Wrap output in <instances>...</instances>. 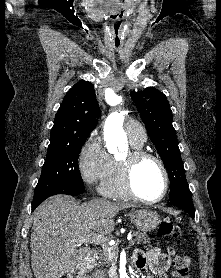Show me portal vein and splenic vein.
Returning a JSON list of instances; mask_svg holds the SVG:
<instances>
[{
    "label": "portal vein and splenic vein",
    "mask_w": 221,
    "mask_h": 278,
    "mask_svg": "<svg viewBox=\"0 0 221 278\" xmlns=\"http://www.w3.org/2000/svg\"><path fill=\"white\" fill-rule=\"evenodd\" d=\"M76 241L77 243L80 244H87V243L99 244L102 246L103 249H106L108 251L109 256H113L112 249L107 245V241L103 235L90 233L87 237L78 239ZM129 244L132 245L133 240H130Z\"/></svg>",
    "instance_id": "portal-vein-and-splenic-vein-1"
}]
</instances>
